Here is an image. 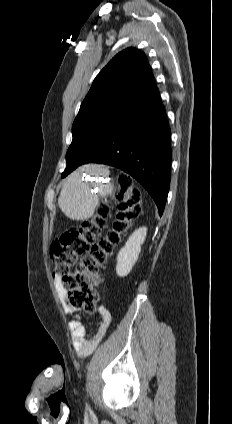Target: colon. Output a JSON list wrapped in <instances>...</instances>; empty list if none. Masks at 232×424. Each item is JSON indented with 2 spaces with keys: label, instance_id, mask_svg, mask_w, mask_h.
Returning <instances> with one entry per match:
<instances>
[{
  "label": "colon",
  "instance_id": "1",
  "mask_svg": "<svg viewBox=\"0 0 232 424\" xmlns=\"http://www.w3.org/2000/svg\"><path fill=\"white\" fill-rule=\"evenodd\" d=\"M117 199L119 212L113 229L105 236L103 231L110 208L106 202H102L90 221L79 229L65 233L50 248L54 274L65 291L68 305L86 313H93L99 300L96 289L99 271L142 211L141 195L135 188H125ZM73 267L75 270L72 272Z\"/></svg>",
  "mask_w": 232,
  "mask_h": 424
}]
</instances>
